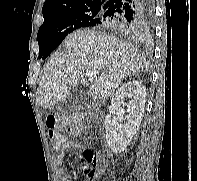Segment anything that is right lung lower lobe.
Masks as SVG:
<instances>
[{
	"instance_id": "1",
	"label": "right lung lower lobe",
	"mask_w": 197,
	"mask_h": 181,
	"mask_svg": "<svg viewBox=\"0 0 197 181\" xmlns=\"http://www.w3.org/2000/svg\"><path fill=\"white\" fill-rule=\"evenodd\" d=\"M103 7L104 12L87 27L101 26L135 35L153 19V0H108Z\"/></svg>"
}]
</instances>
